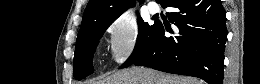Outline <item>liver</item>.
<instances>
[{"label":"liver","mask_w":260,"mask_h":84,"mask_svg":"<svg viewBox=\"0 0 260 84\" xmlns=\"http://www.w3.org/2000/svg\"><path fill=\"white\" fill-rule=\"evenodd\" d=\"M87 84H203L187 76L169 75L152 69L137 67L121 70L103 80Z\"/></svg>","instance_id":"1"}]
</instances>
